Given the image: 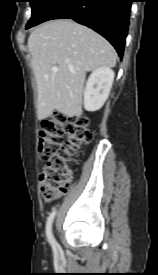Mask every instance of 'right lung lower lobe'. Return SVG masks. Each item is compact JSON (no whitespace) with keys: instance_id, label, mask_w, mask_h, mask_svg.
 <instances>
[{"instance_id":"1","label":"right lung lower lobe","mask_w":158,"mask_h":275,"mask_svg":"<svg viewBox=\"0 0 158 275\" xmlns=\"http://www.w3.org/2000/svg\"><path fill=\"white\" fill-rule=\"evenodd\" d=\"M131 2L132 0H56L36 25L52 19H73L105 37L122 58Z\"/></svg>"}]
</instances>
